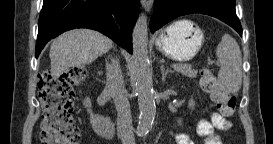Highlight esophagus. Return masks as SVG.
Listing matches in <instances>:
<instances>
[{"mask_svg":"<svg viewBox=\"0 0 273 144\" xmlns=\"http://www.w3.org/2000/svg\"><path fill=\"white\" fill-rule=\"evenodd\" d=\"M153 0H141V5L142 7L147 10L150 11L153 5Z\"/></svg>","mask_w":273,"mask_h":144,"instance_id":"34e87169","label":"esophagus"}]
</instances>
